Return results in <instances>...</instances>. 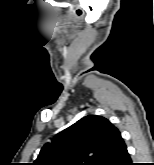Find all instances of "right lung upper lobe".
Returning <instances> with one entry per match:
<instances>
[{
  "label": "right lung upper lobe",
  "instance_id": "cb5924a9",
  "mask_svg": "<svg viewBox=\"0 0 154 165\" xmlns=\"http://www.w3.org/2000/svg\"><path fill=\"white\" fill-rule=\"evenodd\" d=\"M120 138L108 119L88 115L45 144L33 165H104Z\"/></svg>",
  "mask_w": 154,
  "mask_h": 165
}]
</instances>
